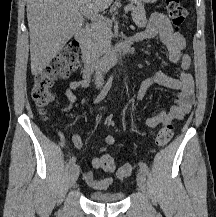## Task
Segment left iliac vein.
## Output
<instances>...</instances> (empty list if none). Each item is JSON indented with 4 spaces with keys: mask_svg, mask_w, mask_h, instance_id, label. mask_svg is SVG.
Wrapping results in <instances>:
<instances>
[{
    "mask_svg": "<svg viewBox=\"0 0 216 217\" xmlns=\"http://www.w3.org/2000/svg\"><path fill=\"white\" fill-rule=\"evenodd\" d=\"M137 184L140 190L144 194H146L147 193L146 175L141 169L137 173Z\"/></svg>",
    "mask_w": 216,
    "mask_h": 217,
    "instance_id": "1",
    "label": "left iliac vein"
}]
</instances>
